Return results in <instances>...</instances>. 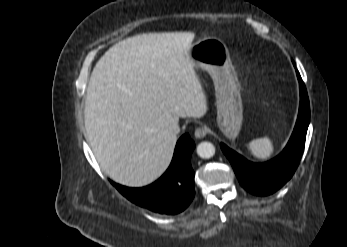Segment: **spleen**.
Wrapping results in <instances>:
<instances>
[{"label":"spleen","instance_id":"spleen-1","mask_svg":"<svg viewBox=\"0 0 347 247\" xmlns=\"http://www.w3.org/2000/svg\"><path fill=\"white\" fill-rule=\"evenodd\" d=\"M251 153L260 160L269 159L275 152L273 140L269 137L258 138L249 143Z\"/></svg>","mask_w":347,"mask_h":247}]
</instances>
